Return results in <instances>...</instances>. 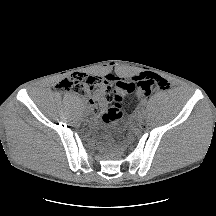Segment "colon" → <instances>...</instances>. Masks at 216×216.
Segmentation results:
<instances>
[{
    "instance_id": "colon-1",
    "label": "colon",
    "mask_w": 216,
    "mask_h": 216,
    "mask_svg": "<svg viewBox=\"0 0 216 216\" xmlns=\"http://www.w3.org/2000/svg\"><path fill=\"white\" fill-rule=\"evenodd\" d=\"M59 86L89 99L94 110L102 112V121L107 126L122 118L125 94L135 92L139 98H147L155 88H169L167 80L155 74H142L133 81H118L114 87L107 78L77 74L63 80Z\"/></svg>"
}]
</instances>
